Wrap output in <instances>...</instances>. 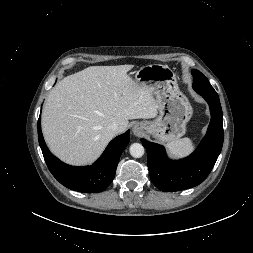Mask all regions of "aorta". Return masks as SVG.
Masks as SVG:
<instances>
[{
  "label": "aorta",
  "mask_w": 253,
  "mask_h": 253,
  "mask_svg": "<svg viewBox=\"0 0 253 253\" xmlns=\"http://www.w3.org/2000/svg\"><path fill=\"white\" fill-rule=\"evenodd\" d=\"M129 151L134 158H140L144 155V147L140 143H133Z\"/></svg>",
  "instance_id": "obj_1"
}]
</instances>
